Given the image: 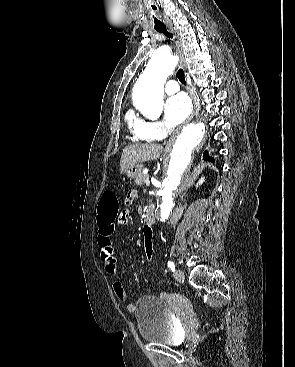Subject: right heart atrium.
<instances>
[{
	"label": "right heart atrium",
	"mask_w": 295,
	"mask_h": 367,
	"mask_svg": "<svg viewBox=\"0 0 295 367\" xmlns=\"http://www.w3.org/2000/svg\"><path fill=\"white\" fill-rule=\"evenodd\" d=\"M147 132L152 139H162L170 132V127L162 121H150L147 122Z\"/></svg>",
	"instance_id": "d8ad5b80"
}]
</instances>
